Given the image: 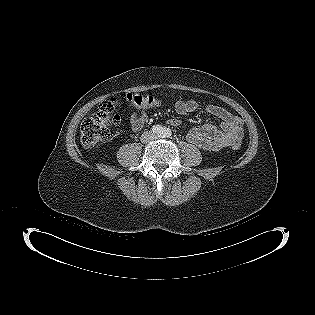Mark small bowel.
I'll return each instance as SVG.
<instances>
[{
    "label": "small bowel",
    "instance_id": "1",
    "mask_svg": "<svg viewBox=\"0 0 315 315\" xmlns=\"http://www.w3.org/2000/svg\"><path fill=\"white\" fill-rule=\"evenodd\" d=\"M159 105L148 107L156 108ZM175 111L179 115H186L197 110L198 103L194 100H179L175 103ZM206 111L216 117L220 121V127L211 123H205L191 128L187 131V139L206 151H218L224 147L240 144L243 138L242 120L217 105H208ZM145 109H142L140 114L132 113L130 116L131 127L138 130L142 127L146 120ZM168 123L174 127H180L181 121L177 118H171Z\"/></svg>",
    "mask_w": 315,
    "mask_h": 315
}]
</instances>
